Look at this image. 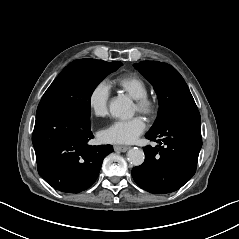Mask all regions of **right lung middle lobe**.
Wrapping results in <instances>:
<instances>
[{"instance_id":"dd1d6c3e","label":"right lung middle lobe","mask_w":239,"mask_h":239,"mask_svg":"<svg viewBox=\"0 0 239 239\" xmlns=\"http://www.w3.org/2000/svg\"><path fill=\"white\" fill-rule=\"evenodd\" d=\"M122 63L96 59H78L71 62L44 93L37 113L52 107L71 106L90 116V99L96 86Z\"/></svg>"}]
</instances>
